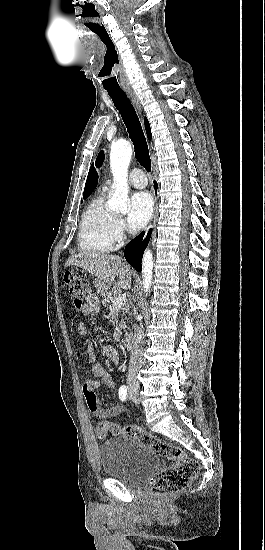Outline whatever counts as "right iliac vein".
I'll return each instance as SVG.
<instances>
[{
	"instance_id": "right-iliac-vein-1",
	"label": "right iliac vein",
	"mask_w": 265,
	"mask_h": 550,
	"mask_svg": "<svg viewBox=\"0 0 265 550\" xmlns=\"http://www.w3.org/2000/svg\"><path fill=\"white\" fill-rule=\"evenodd\" d=\"M129 396L131 397V399H133L134 401H138V389L136 387H133L131 386L129 388Z\"/></svg>"
}]
</instances>
